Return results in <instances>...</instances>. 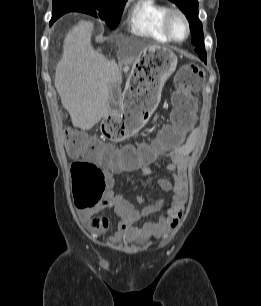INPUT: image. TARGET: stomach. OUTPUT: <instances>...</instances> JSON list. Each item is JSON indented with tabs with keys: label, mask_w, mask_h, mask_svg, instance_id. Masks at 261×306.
<instances>
[{
	"label": "stomach",
	"mask_w": 261,
	"mask_h": 306,
	"mask_svg": "<svg viewBox=\"0 0 261 306\" xmlns=\"http://www.w3.org/2000/svg\"><path fill=\"white\" fill-rule=\"evenodd\" d=\"M177 63L175 53L159 46L145 49L137 58L135 64L137 67L143 66L145 72L136 69V75L141 74V78L132 77L117 112L118 121L126 128L125 137L137 133L148 122L160 101L162 88L176 70Z\"/></svg>",
	"instance_id": "stomach-1"
}]
</instances>
